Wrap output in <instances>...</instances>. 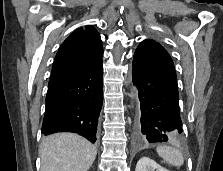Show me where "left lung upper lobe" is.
Wrapping results in <instances>:
<instances>
[{
  "label": "left lung upper lobe",
  "mask_w": 223,
  "mask_h": 171,
  "mask_svg": "<svg viewBox=\"0 0 223 171\" xmlns=\"http://www.w3.org/2000/svg\"><path fill=\"white\" fill-rule=\"evenodd\" d=\"M144 41H153V40H149V39H147V40H144ZM155 42V41H154Z\"/></svg>",
  "instance_id": "5c2ea615"
}]
</instances>
